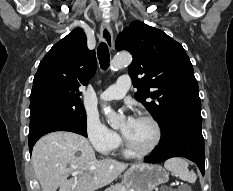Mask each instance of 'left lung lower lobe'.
<instances>
[{
  "label": "left lung lower lobe",
  "instance_id": "left-lung-lower-lobe-1",
  "mask_svg": "<svg viewBox=\"0 0 233 191\" xmlns=\"http://www.w3.org/2000/svg\"><path fill=\"white\" fill-rule=\"evenodd\" d=\"M172 157H185L205 173L204 138L202 123L185 121L175 124L161 139L156 151L146 163H160Z\"/></svg>",
  "mask_w": 233,
  "mask_h": 191
}]
</instances>
